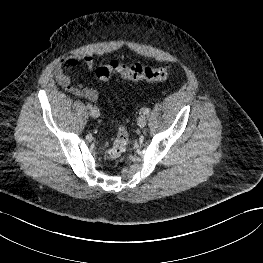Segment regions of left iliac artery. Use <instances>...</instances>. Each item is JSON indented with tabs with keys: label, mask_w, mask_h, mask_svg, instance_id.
<instances>
[{
	"label": "left iliac artery",
	"mask_w": 263,
	"mask_h": 263,
	"mask_svg": "<svg viewBox=\"0 0 263 263\" xmlns=\"http://www.w3.org/2000/svg\"><path fill=\"white\" fill-rule=\"evenodd\" d=\"M150 112V109L149 108H145L144 110H143V113L144 114H148Z\"/></svg>",
	"instance_id": "obj_1"
}]
</instances>
